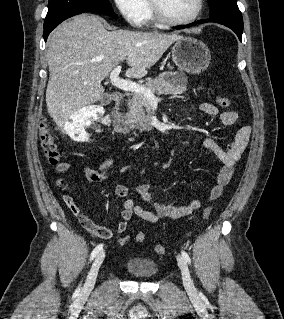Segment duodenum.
<instances>
[{
	"mask_svg": "<svg viewBox=\"0 0 284 319\" xmlns=\"http://www.w3.org/2000/svg\"><path fill=\"white\" fill-rule=\"evenodd\" d=\"M112 99L115 104L111 113L113 128L118 133L128 135L131 132L130 125L119 111V105L122 101V95L116 92L112 95Z\"/></svg>",
	"mask_w": 284,
	"mask_h": 319,
	"instance_id": "duodenum-1",
	"label": "duodenum"
}]
</instances>
